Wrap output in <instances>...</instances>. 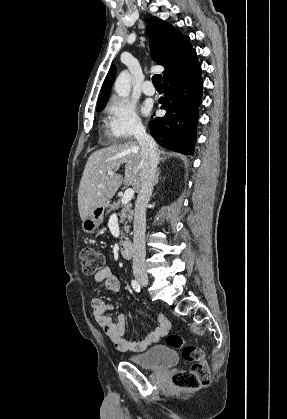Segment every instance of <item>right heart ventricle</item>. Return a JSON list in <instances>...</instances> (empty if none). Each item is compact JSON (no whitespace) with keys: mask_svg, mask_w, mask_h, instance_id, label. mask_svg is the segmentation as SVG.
I'll list each match as a JSON object with an SVG mask.
<instances>
[{"mask_svg":"<svg viewBox=\"0 0 287 419\" xmlns=\"http://www.w3.org/2000/svg\"><path fill=\"white\" fill-rule=\"evenodd\" d=\"M104 130H105V132H106L107 135H109L110 137H112L111 134H110V131H109V125L105 124L104 125Z\"/></svg>","mask_w":287,"mask_h":419,"instance_id":"1","label":"right heart ventricle"}]
</instances>
